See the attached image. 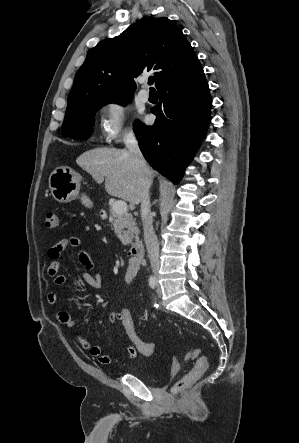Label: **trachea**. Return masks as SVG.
<instances>
[{"instance_id": "1", "label": "trachea", "mask_w": 299, "mask_h": 443, "mask_svg": "<svg viewBox=\"0 0 299 443\" xmlns=\"http://www.w3.org/2000/svg\"><path fill=\"white\" fill-rule=\"evenodd\" d=\"M153 82H154L153 77H149V79H148V85L151 86V85L153 84ZM150 90L153 91V90H155V89H154L153 87H151Z\"/></svg>"}]
</instances>
